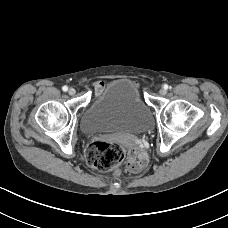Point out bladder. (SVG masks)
Instances as JSON below:
<instances>
[{"label": "bladder", "mask_w": 228, "mask_h": 228, "mask_svg": "<svg viewBox=\"0 0 228 228\" xmlns=\"http://www.w3.org/2000/svg\"><path fill=\"white\" fill-rule=\"evenodd\" d=\"M153 124L149 107L130 79L113 80L98 91L80 120L82 132L88 135L146 133Z\"/></svg>", "instance_id": "1"}]
</instances>
